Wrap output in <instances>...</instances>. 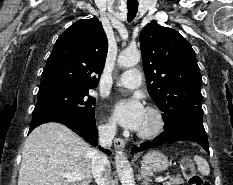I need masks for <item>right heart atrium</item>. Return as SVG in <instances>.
Here are the masks:
<instances>
[{
	"instance_id": "1",
	"label": "right heart atrium",
	"mask_w": 233,
	"mask_h": 185,
	"mask_svg": "<svg viewBox=\"0 0 233 185\" xmlns=\"http://www.w3.org/2000/svg\"><path fill=\"white\" fill-rule=\"evenodd\" d=\"M100 131L106 135H112L116 131V126L112 121L105 122L101 124Z\"/></svg>"
}]
</instances>
